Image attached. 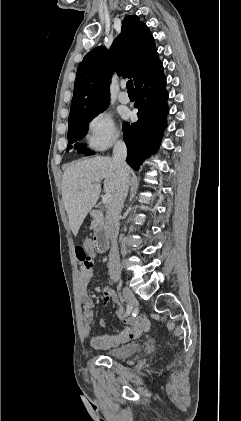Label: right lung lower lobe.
Returning a JSON list of instances; mask_svg holds the SVG:
<instances>
[{"label":"right lung lower lobe","instance_id":"98d812e1","mask_svg":"<svg viewBox=\"0 0 241 421\" xmlns=\"http://www.w3.org/2000/svg\"><path fill=\"white\" fill-rule=\"evenodd\" d=\"M166 78L159 58L143 73L135 83L138 101V121L123 125L127 146V163L138 170L142 162L159 147L166 127L167 105Z\"/></svg>","mask_w":241,"mask_h":421}]
</instances>
